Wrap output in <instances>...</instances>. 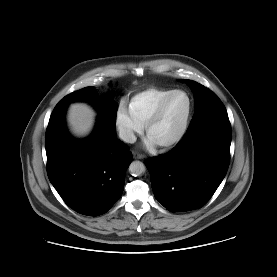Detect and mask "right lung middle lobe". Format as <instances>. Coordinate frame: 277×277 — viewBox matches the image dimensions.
<instances>
[{
    "mask_svg": "<svg viewBox=\"0 0 277 277\" xmlns=\"http://www.w3.org/2000/svg\"><path fill=\"white\" fill-rule=\"evenodd\" d=\"M86 101L92 103L97 109L98 118L111 126L116 125L117 105L109 98H97L94 95V87H85L65 96L56 107H67L70 102Z\"/></svg>",
    "mask_w": 277,
    "mask_h": 277,
    "instance_id": "obj_1",
    "label": "right lung middle lobe"
}]
</instances>
